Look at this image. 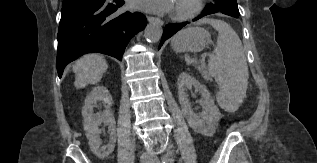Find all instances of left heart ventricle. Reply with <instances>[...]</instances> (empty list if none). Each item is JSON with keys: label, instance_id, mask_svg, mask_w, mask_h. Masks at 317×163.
Here are the masks:
<instances>
[{"label": "left heart ventricle", "instance_id": "b2bd125f", "mask_svg": "<svg viewBox=\"0 0 317 163\" xmlns=\"http://www.w3.org/2000/svg\"><path fill=\"white\" fill-rule=\"evenodd\" d=\"M186 0H176L175 4H174V9H177V8H181L183 7V5L185 4Z\"/></svg>", "mask_w": 317, "mask_h": 163}]
</instances>
